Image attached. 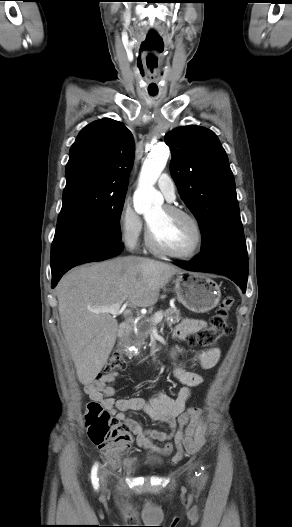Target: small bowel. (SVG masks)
<instances>
[{
    "mask_svg": "<svg viewBox=\"0 0 292 527\" xmlns=\"http://www.w3.org/2000/svg\"><path fill=\"white\" fill-rule=\"evenodd\" d=\"M204 327L206 322L203 320L185 318L176 327L174 336L179 340H185L190 334ZM180 352L181 348L176 346L170 354L173 361V375L184 385L175 398L158 392L148 400L141 397L115 399V388L110 384L115 381L116 373L105 374L85 387L86 393L91 398L101 402L111 415L129 427L136 435V443L139 447L168 455L173 450V444L170 442L173 440L177 452L172 457V462L180 460L184 450L189 453L199 450L207 436L203 411L199 408L186 407L192 389L201 385L204 379L200 374L187 371L176 363V357ZM219 358L220 349L210 348L195 354L194 362L199 368L209 370L217 364ZM128 410L142 411L153 420L167 424L170 431L146 429L139 421L128 418L124 414ZM156 442L165 444L158 446Z\"/></svg>",
    "mask_w": 292,
    "mask_h": 527,
    "instance_id": "1",
    "label": "small bowel"
}]
</instances>
